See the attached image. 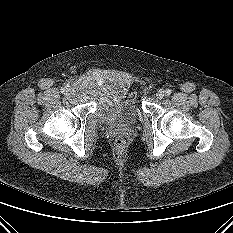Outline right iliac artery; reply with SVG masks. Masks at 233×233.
Masks as SVG:
<instances>
[{
	"instance_id": "82829eb1",
	"label": "right iliac artery",
	"mask_w": 233,
	"mask_h": 233,
	"mask_svg": "<svg viewBox=\"0 0 233 233\" xmlns=\"http://www.w3.org/2000/svg\"><path fill=\"white\" fill-rule=\"evenodd\" d=\"M68 85L66 86V87H62L61 89H60V91H61V93H64L65 91H66V89H68Z\"/></svg>"
}]
</instances>
